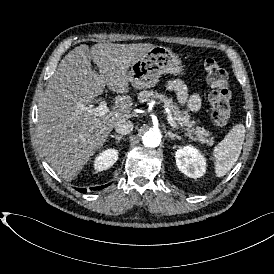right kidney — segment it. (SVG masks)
I'll return each mask as SVG.
<instances>
[{
  "mask_svg": "<svg viewBox=\"0 0 274 274\" xmlns=\"http://www.w3.org/2000/svg\"><path fill=\"white\" fill-rule=\"evenodd\" d=\"M118 150L109 148L100 152L94 159L95 172H101L112 167L118 160Z\"/></svg>",
  "mask_w": 274,
  "mask_h": 274,
  "instance_id": "obj_1",
  "label": "right kidney"
}]
</instances>
